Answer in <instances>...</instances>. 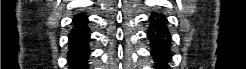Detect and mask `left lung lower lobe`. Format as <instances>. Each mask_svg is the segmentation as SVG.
Wrapping results in <instances>:
<instances>
[{
	"label": "left lung lower lobe",
	"mask_w": 246,
	"mask_h": 69,
	"mask_svg": "<svg viewBox=\"0 0 246 69\" xmlns=\"http://www.w3.org/2000/svg\"><path fill=\"white\" fill-rule=\"evenodd\" d=\"M150 26L147 31L152 48V56L156 69H167L170 58L171 38L167 28V20L163 15L153 12L149 18Z\"/></svg>",
	"instance_id": "0a47b994"
}]
</instances>
